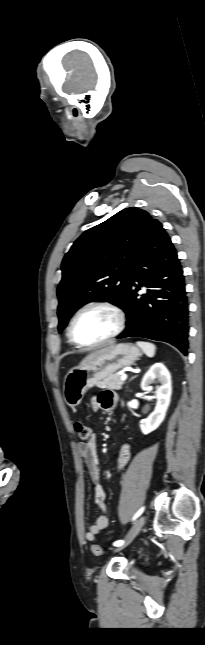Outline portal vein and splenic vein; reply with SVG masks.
<instances>
[{
    "label": "portal vein and splenic vein",
    "instance_id": "obj_1",
    "mask_svg": "<svg viewBox=\"0 0 205 645\" xmlns=\"http://www.w3.org/2000/svg\"><path fill=\"white\" fill-rule=\"evenodd\" d=\"M126 379H127V375H126V374H123V375L121 376V380H122V381H125Z\"/></svg>",
    "mask_w": 205,
    "mask_h": 645
}]
</instances>
